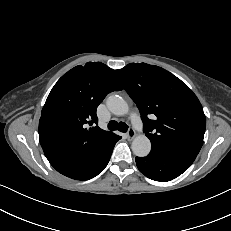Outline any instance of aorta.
<instances>
[{
  "label": "aorta",
  "mask_w": 231,
  "mask_h": 231,
  "mask_svg": "<svg viewBox=\"0 0 231 231\" xmlns=\"http://www.w3.org/2000/svg\"><path fill=\"white\" fill-rule=\"evenodd\" d=\"M108 109L117 116H123L129 112L127 102L118 95H111L106 101ZM151 150V142L145 135H138L132 142V151L138 157H146Z\"/></svg>",
  "instance_id": "762f6f07"
}]
</instances>
